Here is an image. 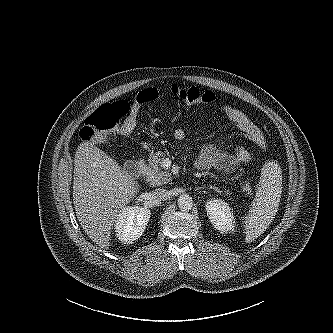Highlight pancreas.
<instances>
[{"label": "pancreas", "instance_id": "pancreas-1", "mask_svg": "<svg viewBox=\"0 0 333 333\" xmlns=\"http://www.w3.org/2000/svg\"><path fill=\"white\" fill-rule=\"evenodd\" d=\"M162 156L163 153L157 152L148 159L149 166L145 171V175L152 186H160L171 181L170 173L163 169Z\"/></svg>", "mask_w": 333, "mask_h": 333}]
</instances>
